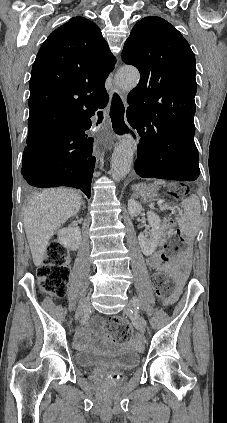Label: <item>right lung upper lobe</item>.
<instances>
[{
  "label": "right lung upper lobe",
  "instance_id": "1",
  "mask_svg": "<svg viewBox=\"0 0 227 423\" xmlns=\"http://www.w3.org/2000/svg\"><path fill=\"white\" fill-rule=\"evenodd\" d=\"M115 60L96 24L81 16L72 18L49 35L36 56L29 108L107 104L104 83ZM70 124L65 118L29 120L27 145L38 144Z\"/></svg>",
  "mask_w": 227,
  "mask_h": 423
}]
</instances>
